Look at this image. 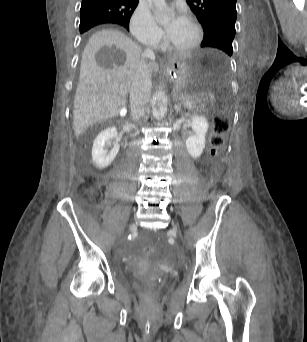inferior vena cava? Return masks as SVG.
Segmentation results:
<instances>
[{"label": "inferior vena cava", "instance_id": "obj_1", "mask_svg": "<svg viewBox=\"0 0 307 342\" xmlns=\"http://www.w3.org/2000/svg\"><path fill=\"white\" fill-rule=\"evenodd\" d=\"M144 56H154L152 50H145ZM152 90V80L150 70L143 62L142 66L138 68L130 88V108L132 120H140L145 104L150 102Z\"/></svg>", "mask_w": 307, "mask_h": 342}]
</instances>
